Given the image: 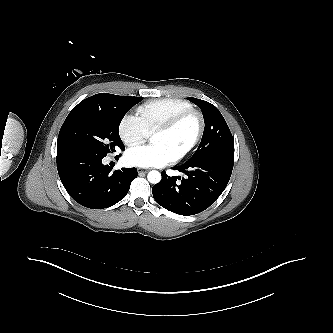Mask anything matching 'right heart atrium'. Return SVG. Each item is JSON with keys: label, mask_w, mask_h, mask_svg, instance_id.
I'll return each mask as SVG.
<instances>
[{"label": "right heart atrium", "mask_w": 333, "mask_h": 333, "mask_svg": "<svg viewBox=\"0 0 333 333\" xmlns=\"http://www.w3.org/2000/svg\"><path fill=\"white\" fill-rule=\"evenodd\" d=\"M118 132L121 140L127 146H135L144 142L149 136V132L139 116L126 114L122 117Z\"/></svg>", "instance_id": "obj_1"}]
</instances>
